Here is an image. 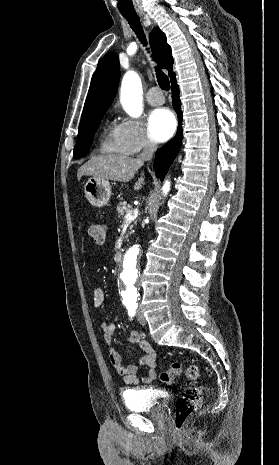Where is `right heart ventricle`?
I'll return each mask as SVG.
<instances>
[{
	"mask_svg": "<svg viewBox=\"0 0 279 465\" xmlns=\"http://www.w3.org/2000/svg\"><path fill=\"white\" fill-rule=\"evenodd\" d=\"M100 151L106 154H129L117 135L116 127H109L101 142Z\"/></svg>",
	"mask_w": 279,
	"mask_h": 465,
	"instance_id": "right-heart-ventricle-1",
	"label": "right heart ventricle"
}]
</instances>
